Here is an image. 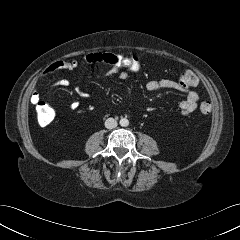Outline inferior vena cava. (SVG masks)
I'll return each mask as SVG.
<instances>
[{"mask_svg":"<svg viewBox=\"0 0 240 240\" xmlns=\"http://www.w3.org/2000/svg\"><path fill=\"white\" fill-rule=\"evenodd\" d=\"M105 127L107 129H114L117 127V121L114 119V118H108L106 121H105Z\"/></svg>","mask_w":240,"mask_h":240,"instance_id":"inferior-vena-cava-1","label":"inferior vena cava"}]
</instances>
